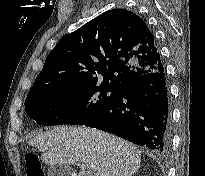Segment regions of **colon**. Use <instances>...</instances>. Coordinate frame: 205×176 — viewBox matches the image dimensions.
<instances>
[{"label": "colon", "mask_w": 205, "mask_h": 176, "mask_svg": "<svg viewBox=\"0 0 205 176\" xmlns=\"http://www.w3.org/2000/svg\"><path fill=\"white\" fill-rule=\"evenodd\" d=\"M24 163L27 176H44L42 164L35 153H26Z\"/></svg>", "instance_id": "1"}]
</instances>
